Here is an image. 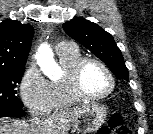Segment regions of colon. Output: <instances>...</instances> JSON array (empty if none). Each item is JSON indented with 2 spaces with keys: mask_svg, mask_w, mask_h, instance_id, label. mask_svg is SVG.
<instances>
[{
  "mask_svg": "<svg viewBox=\"0 0 153 134\" xmlns=\"http://www.w3.org/2000/svg\"><path fill=\"white\" fill-rule=\"evenodd\" d=\"M98 134H131V130L124 123L122 114L115 112L111 115L107 124L99 130Z\"/></svg>",
  "mask_w": 153,
  "mask_h": 134,
  "instance_id": "5ec220e1",
  "label": "colon"
}]
</instances>
